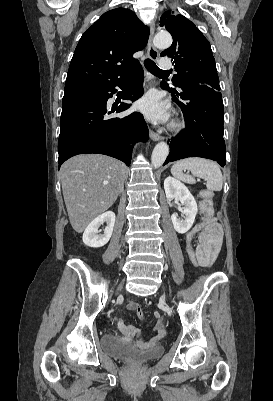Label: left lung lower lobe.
I'll return each instance as SVG.
<instances>
[{
  "label": "left lung lower lobe",
  "mask_w": 273,
  "mask_h": 401,
  "mask_svg": "<svg viewBox=\"0 0 273 401\" xmlns=\"http://www.w3.org/2000/svg\"><path fill=\"white\" fill-rule=\"evenodd\" d=\"M161 87L172 92L186 122V129L171 139L170 153L164 165L182 158L203 157L216 160L224 166L226 148L223 139L224 108L221 93L201 84L182 86L180 93L164 84ZM176 96H181L187 102H180Z\"/></svg>",
  "instance_id": "left-lung-lower-lobe-1"
}]
</instances>
